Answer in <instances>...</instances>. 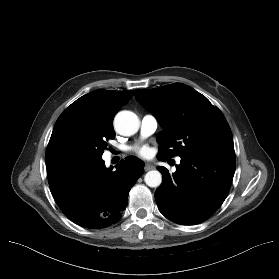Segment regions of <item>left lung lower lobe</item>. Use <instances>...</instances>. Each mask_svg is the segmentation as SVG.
<instances>
[{"mask_svg":"<svg viewBox=\"0 0 279 279\" xmlns=\"http://www.w3.org/2000/svg\"><path fill=\"white\" fill-rule=\"evenodd\" d=\"M235 167V154L227 153L181 156L180 165H176L172 175L165 167H157L163 176L162 184L155 192L160 212L181 225L205 221L227 197Z\"/></svg>","mask_w":279,"mask_h":279,"instance_id":"left-lung-lower-lobe-1","label":"left lung lower lobe"}]
</instances>
